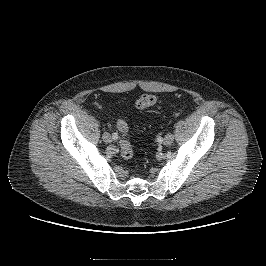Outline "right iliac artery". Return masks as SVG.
<instances>
[{
	"label": "right iliac artery",
	"instance_id": "right-iliac-artery-1",
	"mask_svg": "<svg viewBox=\"0 0 266 266\" xmlns=\"http://www.w3.org/2000/svg\"><path fill=\"white\" fill-rule=\"evenodd\" d=\"M112 138H113L114 140H116V139L118 138L117 133H113Z\"/></svg>",
	"mask_w": 266,
	"mask_h": 266
}]
</instances>
